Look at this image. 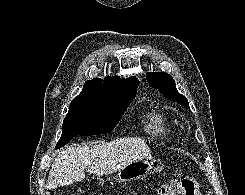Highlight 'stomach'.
<instances>
[{
	"label": "stomach",
	"mask_w": 245,
	"mask_h": 195,
	"mask_svg": "<svg viewBox=\"0 0 245 195\" xmlns=\"http://www.w3.org/2000/svg\"><path fill=\"white\" fill-rule=\"evenodd\" d=\"M161 167L154 159H139L120 169L116 175L118 182L141 180L149 174L160 172Z\"/></svg>",
	"instance_id": "obj_1"
}]
</instances>
